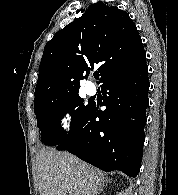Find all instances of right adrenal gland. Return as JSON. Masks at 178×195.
<instances>
[{
	"label": "right adrenal gland",
	"mask_w": 178,
	"mask_h": 195,
	"mask_svg": "<svg viewBox=\"0 0 178 195\" xmlns=\"http://www.w3.org/2000/svg\"><path fill=\"white\" fill-rule=\"evenodd\" d=\"M109 183H111V181L108 180V179H106V180H105V184H102V186L99 188V193H101V192L103 191L104 186H106V185L109 184Z\"/></svg>",
	"instance_id": "2a0ac1e0"
}]
</instances>
